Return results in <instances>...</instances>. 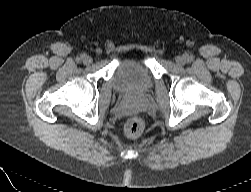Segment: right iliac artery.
<instances>
[{
  "label": "right iliac artery",
  "mask_w": 251,
  "mask_h": 192,
  "mask_svg": "<svg viewBox=\"0 0 251 192\" xmlns=\"http://www.w3.org/2000/svg\"><path fill=\"white\" fill-rule=\"evenodd\" d=\"M84 57H85V55L82 54V55L80 56V58L77 59V61H78V62L81 61Z\"/></svg>",
  "instance_id": "82829eb1"
}]
</instances>
